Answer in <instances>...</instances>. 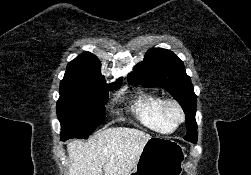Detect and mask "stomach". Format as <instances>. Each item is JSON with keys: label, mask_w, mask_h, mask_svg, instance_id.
Here are the masks:
<instances>
[{"label": "stomach", "mask_w": 251, "mask_h": 175, "mask_svg": "<svg viewBox=\"0 0 251 175\" xmlns=\"http://www.w3.org/2000/svg\"><path fill=\"white\" fill-rule=\"evenodd\" d=\"M184 161L181 143L164 135H151L129 175H181Z\"/></svg>", "instance_id": "0dacf381"}]
</instances>
